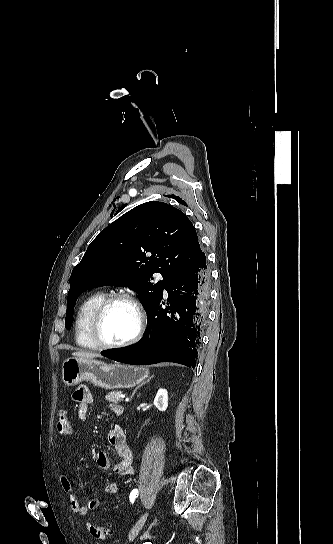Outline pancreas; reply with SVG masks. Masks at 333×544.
<instances>
[{"label": "pancreas", "mask_w": 333, "mask_h": 544, "mask_svg": "<svg viewBox=\"0 0 333 544\" xmlns=\"http://www.w3.org/2000/svg\"><path fill=\"white\" fill-rule=\"evenodd\" d=\"M122 394V392L120 391H112V392H109L107 395H106V400H108V402L110 403H119L122 401V399L120 398V395Z\"/></svg>", "instance_id": "pancreas-1"}]
</instances>
